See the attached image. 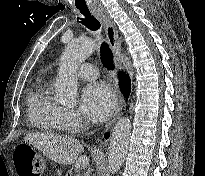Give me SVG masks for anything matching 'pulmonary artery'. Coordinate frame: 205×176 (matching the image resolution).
I'll return each instance as SVG.
<instances>
[{"mask_svg": "<svg viewBox=\"0 0 205 176\" xmlns=\"http://www.w3.org/2000/svg\"><path fill=\"white\" fill-rule=\"evenodd\" d=\"M77 75L86 80H94L98 77V70L90 64L82 63L76 69Z\"/></svg>", "mask_w": 205, "mask_h": 176, "instance_id": "e3ab8cb5", "label": "pulmonary artery"}]
</instances>
